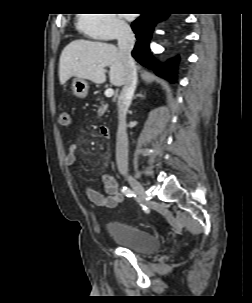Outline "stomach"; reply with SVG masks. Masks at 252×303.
Masks as SVG:
<instances>
[{
  "label": "stomach",
  "mask_w": 252,
  "mask_h": 303,
  "mask_svg": "<svg viewBox=\"0 0 252 303\" xmlns=\"http://www.w3.org/2000/svg\"><path fill=\"white\" fill-rule=\"evenodd\" d=\"M72 90L77 97L85 98L88 94L89 85L84 79L74 78L72 81Z\"/></svg>",
  "instance_id": "1"
}]
</instances>
